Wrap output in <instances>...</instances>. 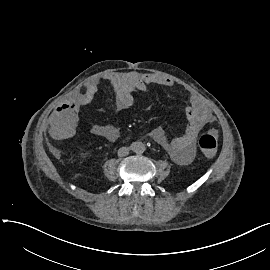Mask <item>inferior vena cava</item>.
<instances>
[{"label": "inferior vena cava", "mask_w": 270, "mask_h": 270, "mask_svg": "<svg viewBox=\"0 0 270 270\" xmlns=\"http://www.w3.org/2000/svg\"><path fill=\"white\" fill-rule=\"evenodd\" d=\"M130 148L129 147H121L118 150V156L119 157H124L129 154Z\"/></svg>", "instance_id": "602c4592"}]
</instances>
